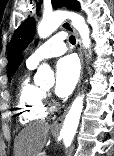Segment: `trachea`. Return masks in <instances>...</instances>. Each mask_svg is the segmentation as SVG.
<instances>
[{"instance_id": "trachea-1", "label": "trachea", "mask_w": 114, "mask_h": 156, "mask_svg": "<svg viewBox=\"0 0 114 156\" xmlns=\"http://www.w3.org/2000/svg\"><path fill=\"white\" fill-rule=\"evenodd\" d=\"M69 41H70V43L75 44L76 39H75L74 36H70V37H69Z\"/></svg>"}]
</instances>
